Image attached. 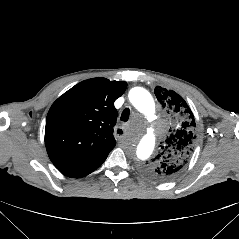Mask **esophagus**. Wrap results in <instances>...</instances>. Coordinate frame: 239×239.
Returning a JSON list of instances; mask_svg holds the SVG:
<instances>
[{
    "label": "esophagus",
    "mask_w": 239,
    "mask_h": 239,
    "mask_svg": "<svg viewBox=\"0 0 239 239\" xmlns=\"http://www.w3.org/2000/svg\"><path fill=\"white\" fill-rule=\"evenodd\" d=\"M124 132H125L124 129L122 127H119L115 129L114 134L117 137H122L124 135Z\"/></svg>",
    "instance_id": "esophagus-1"
}]
</instances>
